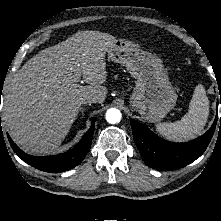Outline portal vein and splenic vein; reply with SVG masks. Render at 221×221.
I'll use <instances>...</instances> for the list:
<instances>
[{
	"instance_id": "1",
	"label": "portal vein and splenic vein",
	"mask_w": 221,
	"mask_h": 221,
	"mask_svg": "<svg viewBox=\"0 0 221 221\" xmlns=\"http://www.w3.org/2000/svg\"><path fill=\"white\" fill-rule=\"evenodd\" d=\"M74 71H75V78L78 79V80H80L81 73H80L79 69H78V68H75Z\"/></svg>"
}]
</instances>
